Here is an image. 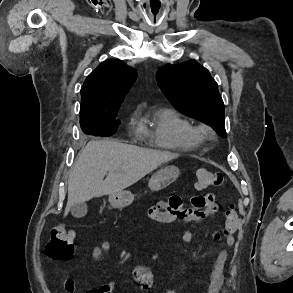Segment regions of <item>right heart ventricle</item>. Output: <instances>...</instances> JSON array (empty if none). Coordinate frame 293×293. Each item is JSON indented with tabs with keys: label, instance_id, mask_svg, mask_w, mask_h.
<instances>
[{
	"label": "right heart ventricle",
	"instance_id": "e07e8e85",
	"mask_svg": "<svg viewBox=\"0 0 293 293\" xmlns=\"http://www.w3.org/2000/svg\"><path fill=\"white\" fill-rule=\"evenodd\" d=\"M140 132L161 149L189 151L200 142L193 123L171 108L156 111L148 125L140 126Z\"/></svg>",
	"mask_w": 293,
	"mask_h": 293
}]
</instances>
